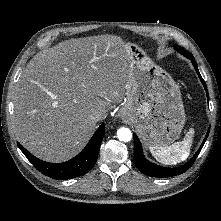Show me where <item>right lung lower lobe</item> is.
Segmentation results:
<instances>
[{"mask_svg":"<svg viewBox=\"0 0 221 221\" xmlns=\"http://www.w3.org/2000/svg\"><path fill=\"white\" fill-rule=\"evenodd\" d=\"M105 135L102 124L94 133L86 147L74 158L63 163H48L34 157L22 145L18 147L27 159L44 175L54 179H71L86 174L96 163L100 145Z\"/></svg>","mask_w":221,"mask_h":221,"instance_id":"1","label":"right lung lower lobe"}]
</instances>
